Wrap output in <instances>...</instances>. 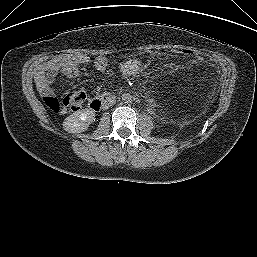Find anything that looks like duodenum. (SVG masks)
<instances>
[{
    "instance_id": "obj_1",
    "label": "duodenum",
    "mask_w": 257,
    "mask_h": 257,
    "mask_svg": "<svg viewBox=\"0 0 257 257\" xmlns=\"http://www.w3.org/2000/svg\"><path fill=\"white\" fill-rule=\"evenodd\" d=\"M116 101V96L112 93H103L89 102V108L92 111H100L101 109L112 105Z\"/></svg>"
}]
</instances>
